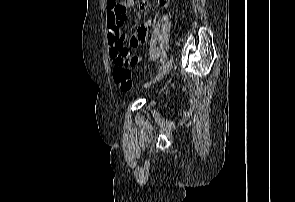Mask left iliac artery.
I'll return each mask as SVG.
<instances>
[{"instance_id":"44dca946","label":"left iliac artery","mask_w":295,"mask_h":202,"mask_svg":"<svg viewBox=\"0 0 295 202\" xmlns=\"http://www.w3.org/2000/svg\"><path fill=\"white\" fill-rule=\"evenodd\" d=\"M166 58H167L166 53H164L162 58H161V64H164Z\"/></svg>"}]
</instances>
